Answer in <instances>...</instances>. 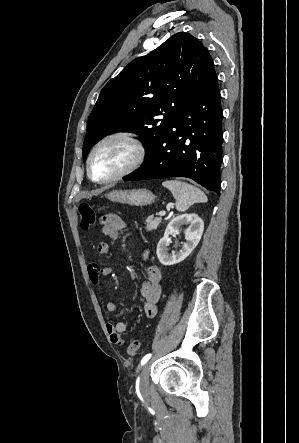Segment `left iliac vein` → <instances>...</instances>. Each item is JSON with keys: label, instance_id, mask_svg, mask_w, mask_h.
Returning a JSON list of instances; mask_svg holds the SVG:
<instances>
[{"label": "left iliac vein", "instance_id": "obj_1", "mask_svg": "<svg viewBox=\"0 0 299 443\" xmlns=\"http://www.w3.org/2000/svg\"><path fill=\"white\" fill-rule=\"evenodd\" d=\"M139 389L142 395L149 393V364H145L142 367L139 378Z\"/></svg>", "mask_w": 299, "mask_h": 443}]
</instances>
